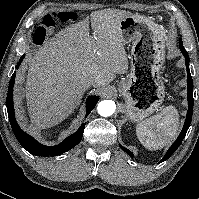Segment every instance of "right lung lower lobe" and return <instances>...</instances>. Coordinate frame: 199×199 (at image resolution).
<instances>
[{"instance_id":"obj_1","label":"right lung lower lobe","mask_w":199,"mask_h":199,"mask_svg":"<svg viewBox=\"0 0 199 199\" xmlns=\"http://www.w3.org/2000/svg\"><path fill=\"white\" fill-rule=\"evenodd\" d=\"M25 55H23L19 62L16 65V69L20 66L21 62L23 61ZM15 82V72L13 73L9 86H8V93L6 99V106L9 121L12 127V130L22 145V147L27 150L29 153L36 155V156H58L64 152L69 151L73 147H75L82 139L83 131L85 128V123L81 124L79 129L72 135L65 138L60 144L55 146H45L38 143L32 136L24 132L15 120L14 114V106H13V85ZM98 96H90L86 101V116L95 108L96 103L98 102Z\"/></svg>"}]
</instances>
